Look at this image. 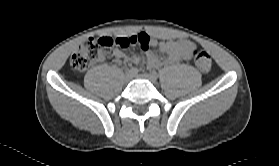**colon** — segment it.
Returning <instances> with one entry per match:
<instances>
[{
  "mask_svg": "<svg viewBox=\"0 0 279 166\" xmlns=\"http://www.w3.org/2000/svg\"><path fill=\"white\" fill-rule=\"evenodd\" d=\"M145 43L146 38L144 36L138 38L119 37L116 39L110 37L90 38L71 56L70 65L75 72H84L92 64L102 61L109 49L114 45L125 48L130 45H144ZM192 59L200 71H210L212 58L208 52L201 49H194L192 51Z\"/></svg>",
  "mask_w": 279,
  "mask_h": 166,
  "instance_id": "obj_1",
  "label": "colon"
}]
</instances>
